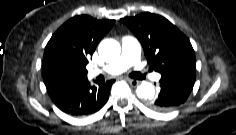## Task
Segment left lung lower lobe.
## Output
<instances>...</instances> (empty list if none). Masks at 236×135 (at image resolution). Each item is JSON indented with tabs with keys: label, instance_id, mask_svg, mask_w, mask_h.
<instances>
[{
	"label": "left lung lower lobe",
	"instance_id": "obj_1",
	"mask_svg": "<svg viewBox=\"0 0 236 135\" xmlns=\"http://www.w3.org/2000/svg\"><path fill=\"white\" fill-rule=\"evenodd\" d=\"M196 79L193 73L162 75L160 93L150 106L157 111H171L183 104L189 97Z\"/></svg>",
	"mask_w": 236,
	"mask_h": 135
}]
</instances>
